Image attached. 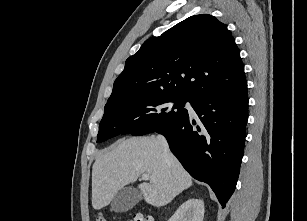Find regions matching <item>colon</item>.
Wrapping results in <instances>:
<instances>
[{"label": "colon", "mask_w": 307, "mask_h": 221, "mask_svg": "<svg viewBox=\"0 0 307 221\" xmlns=\"http://www.w3.org/2000/svg\"><path fill=\"white\" fill-rule=\"evenodd\" d=\"M152 218L145 217L143 215H135L129 221H151ZM95 221H108L107 217L102 213H97L95 216Z\"/></svg>", "instance_id": "obj_1"}]
</instances>
